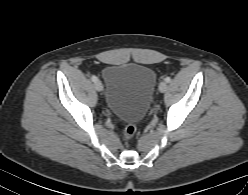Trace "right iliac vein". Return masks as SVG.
<instances>
[{"label": "right iliac vein", "instance_id": "right-iliac-vein-1", "mask_svg": "<svg viewBox=\"0 0 248 195\" xmlns=\"http://www.w3.org/2000/svg\"><path fill=\"white\" fill-rule=\"evenodd\" d=\"M94 87H95V89L97 90V91H102L103 90V85H102V83L100 82V81H96L95 83H94Z\"/></svg>", "mask_w": 248, "mask_h": 195}]
</instances>
